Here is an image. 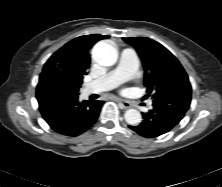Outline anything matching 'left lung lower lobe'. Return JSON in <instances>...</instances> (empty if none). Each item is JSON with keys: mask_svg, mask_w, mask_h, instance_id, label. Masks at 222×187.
<instances>
[{"mask_svg": "<svg viewBox=\"0 0 222 187\" xmlns=\"http://www.w3.org/2000/svg\"><path fill=\"white\" fill-rule=\"evenodd\" d=\"M191 102V91L161 95L153 100V109L143 113V122L129 126L139 135L154 138L169 132L184 117Z\"/></svg>", "mask_w": 222, "mask_h": 187, "instance_id": "0a47b994", "label": "left lung lower lobe"}]
</instances>
